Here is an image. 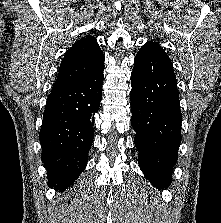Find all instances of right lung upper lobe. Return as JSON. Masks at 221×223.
I'll return each mask as SVG.
<instances>
[{"label":"right lung upper lobe","mask_w":221,"mask_h":223,"mask_svg":"<svg viewBox=\"0 0 221 223\" xmlns=\"http://www.w3.org/2000/svg\"><path fill=\"white\" fill-rule=\"evenodd\" d=\"M103 66L104 55L96 39L88 35L75 42L66 52L52 89L77 83Z\"/></svg>","instance_id":"obj_1"}]
</instances>
